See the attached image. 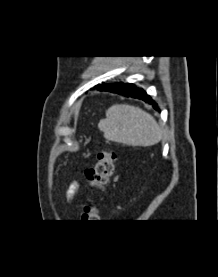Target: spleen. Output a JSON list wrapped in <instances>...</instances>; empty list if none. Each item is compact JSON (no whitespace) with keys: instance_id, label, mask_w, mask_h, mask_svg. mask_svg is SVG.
<instances>
[{"instance_id":"obj_1","label":"spleen","mask_w":218,"mask_h":277,"mask_svg":"<svg viewBox=\"0 0 218 277\" xmlns=\"http://www.w3.org/2000/svg\"><path fill=\"white\" fill-rule=\"evenodd\" d=\"M98 127L107 140L129 146H151L162 139V131L153 116L127 104L108 108Z\"/></svg>"}]
</instances>
